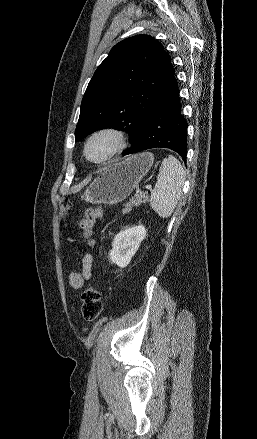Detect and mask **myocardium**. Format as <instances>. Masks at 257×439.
I'll return each mask as SVG.
<instances>
[{"label": "myocardium", "instance_id": "obj_1", "mask_svg": "<svg viewBox=\"0 0 257 439\" xmlns=\"http://www.w3.org/2000/svg\"><path fill=\"white\" fill-rule=\"evenodd\" d=\"M100 136H109L114 140V147L112 150L103 158L101 159H92L88 154V148L91 144V142L100 137ZM127 146V136L126 133L118 127L115 126H105L102 128L97 129L93 133L90 134V136L87 138L85 145H84V156L85 158L96 165H104L109 163L111 160L116 158L118 155H120L123 150Z\"/></svg>", "mask_w": 257, "mask_h": 439}]
</instances>
